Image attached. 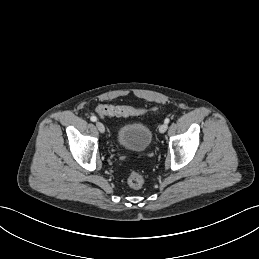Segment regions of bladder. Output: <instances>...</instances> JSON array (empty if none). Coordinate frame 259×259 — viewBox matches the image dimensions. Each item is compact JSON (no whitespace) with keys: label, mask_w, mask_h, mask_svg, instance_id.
Here are the masks:
<instances>
[{"label":"bladder","mask_w":259,"mask_h":259,"mask_svg":"<svg viewBox=\"0 0 259 259\" xmlns=\"http://www.w3.org/2000/svg\"><path fill=\"white\" fill-rule=\"evenodd\" d=\"M152 134L150 129L141 123L124 124L119 127L117 132V142L120 147L143 152L151 144Z\"/></svg>","instance_id":"1"}]
</instances>
